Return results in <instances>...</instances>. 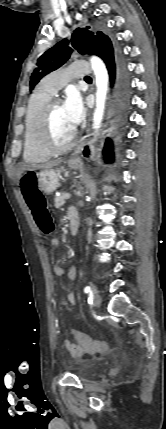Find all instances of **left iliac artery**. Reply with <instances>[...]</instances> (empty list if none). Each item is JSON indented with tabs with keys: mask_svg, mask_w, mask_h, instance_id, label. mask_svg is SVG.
<instances>
[{
	"mask_svg": "<svg viewBox=\"0 0 166 429\" xmlns=\"http://www.w3.org/2000/svg\"><path fill=\"white\" fill-rule=\"evenodd\" d=\"M84 292L85 293H92L91 287L90 286L85 287Z\"/></svg>",
	"mask_w": 166,
	"mask_h": 429,
	"instance_id": "1",
	"label": "left iliac artery"
}]
</instances>
